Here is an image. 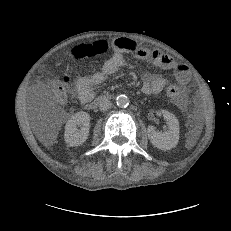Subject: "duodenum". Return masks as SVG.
<instances>
[{
    "label": "duodenum",
    "mask_w": 231,
    "mask_h": 231,
    "mask_svg": "<svg viewBox=\"0 0 231 231\" xmlns=\"http://www.w3.org/2000/svg\"><path fill=\"white\" fill-rule=\"evenodd\" d=\"M107 99H109V96H107V95H103V96H100L97 100H95L94 102H91V101H89V102H86V104H87V106L89 107V108H94V107H96L99 103H101V102H103V101H105V100H107Z\"/></svg>",
    "instance_id": "410a0bca"
}]
</instances>
